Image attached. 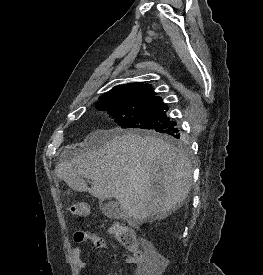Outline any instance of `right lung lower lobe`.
Here are the masks:
<instances>
[{
  "label": "right lung lower lobe",
  "instance_id": "1",
  "mask_svg": "<svg viewBox=\"0 0 263 275\" xmlns=\"http://www.w3.org/2000/svg\"><path fill=\"white\" fill-rule=\"evenodd\" d=\"M161 133L167 134V135H173V136H175L177 138L181 137V133H180L179 129L177 128L176 124L173 125V126H171V127H169V128H167V129H163L161 131Z\"/></svg>",
  "mask_w": 263,
  "mask_h": 275
}]
</instances>
